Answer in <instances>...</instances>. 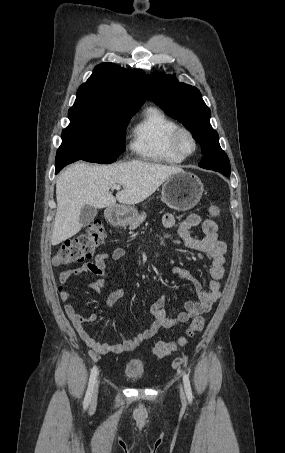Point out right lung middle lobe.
Wrapping results in <instances>:
<instances>
[{
  "label": "right lung middle lobe",
  "mask_w": 285,
  "mask_h": 453,
  "mask_svg": "<svg viewBox=\"0 0 285 453\" xmlns=\"http://www.w3.org/2000/svg\"><path fill=\"white\" fill-rule=\"evenodd\" d=\"M135 112L137 110L71 107L70 124L62 132V144L57 153L67 154L74 161L115 162L125 151V128Z\"/></svg>",
  "instance_id": "dd1d6c3e"
}]
</instances>
